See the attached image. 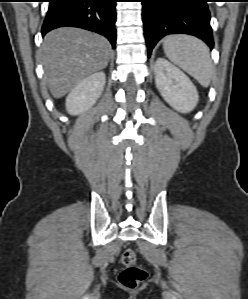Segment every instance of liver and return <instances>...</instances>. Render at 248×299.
Returning a JSON list of instances; mask_svg holds the SVG:
<instances>
[{
    "label": "liver",
    "mask_w": 248,
    "mask_h": 299,
    "mask_svg": "<svg viewBox=\"0 0 248 299\" xmlns=\"http://www.w3.org/2000/svg\"><path fill=\"white\" fill-rule=\"evenodd\" d=\"M111 52L108 40L90 31L63 27L49 32L41 54L51 94L61 98L84 78L104 69Z\"/></svg>",
    "instance_id": "6515ba94"
}]
</instances>
